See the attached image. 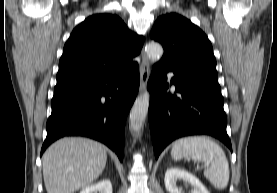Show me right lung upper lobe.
Returning a JSON list of instances; mask_svg holds the SVG:
<instances>
[{
	"instance_id": "obj_1",
	"label": "right lung upper lobe",
	"mask_w": 277,
	"mask_h": 193,
	"mask_svg": "<svg viewBox=\"0 0 277 193\" xmlns=\"http://www.w3.org/2000/svg\"><path fill=\"white\" fill-rule=\"evenodd\" d=\"M144 38L116 15L86 18L71 33L59 61L57 85L96 78L129 64Z\"/></svg>"
}]
</instances>
